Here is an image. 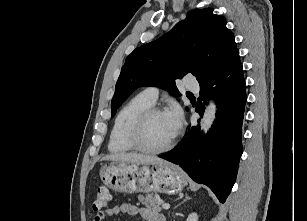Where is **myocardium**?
Segmentation results:
<instances>
[{
    "instance_id": "1",
    "label": "myocardium",
    "mask_w": 307,
    "mask_h": 221,
    "mask_svg": "<svg viewBox=\"0 0 307 221\" xmlns=\"http://www.w3.org/2000/svg\"><path fill=\"white\" fill-rule=\"evenodd\" d=\"M160 113H166V110L160 107L152 106L145 109L137 116L129 133V141L134 149L147 154H160L173 147L177 139L178 132H176L165 145L158 148L149 147L143 141L144 132L149 120L154 115Z\"/></svg>"
}]
</instances>
